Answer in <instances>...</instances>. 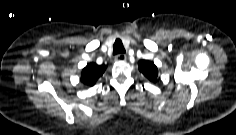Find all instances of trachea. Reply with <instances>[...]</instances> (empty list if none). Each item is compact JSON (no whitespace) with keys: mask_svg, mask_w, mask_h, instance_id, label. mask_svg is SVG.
I'll use <instances>...</instances> for the list:
<instances>
[{"mask_svg":"<svg viewBox=\"0 0 236 135\" xmlns=\"http://www.w3.org/2000/svg\"><path fill=\"white\" fill-rule=\"evenodd\" d=\"M125 52L124 46L120 39H117L113 45V55L123 54Z\"/></svg>","mask_w":236,"mask_h":135,"instance_id":"1","label":"trachea"}]
</instances>
